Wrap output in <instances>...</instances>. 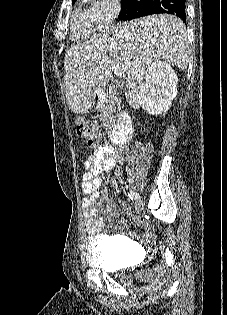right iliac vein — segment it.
<instances>
[{
	"instance_id": "obj_1",
	"label": "right iliac vein",
	"mask_w": 227,
	"mask_h": 315,
	"mask_svg": "<svg viewBox=\"0 0 227 315\" xmlns=\"http://www.w3.org/2000/svg\"><path fill=\"white\" fill-rule=\"evenodd\" d=\"M142 209H143V202H142L141 198L139 197L135 201V210L137 213H139L140 211H142Z\"/></svg>"
}]
</instances>
